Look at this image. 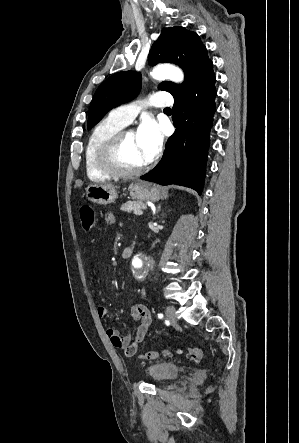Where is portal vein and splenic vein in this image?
<instances>
[{"label":"portal vein and splenic vein","instance_id":"portal-vein-and-splenic-vein-1","mask_svg":"<svg viewBox=\"0 0 299 443\" xmlns=\"http://www.w3.org/2000/svg\"><path fill=\"white\" fill-rule=\"evenodd\" d=\"M134 214L137 215V216H140V215L143 214V211L140 210V209H137V210L134 211Z\"/></svg>","mask_w":299,"mask_h":443}]
</instances>
